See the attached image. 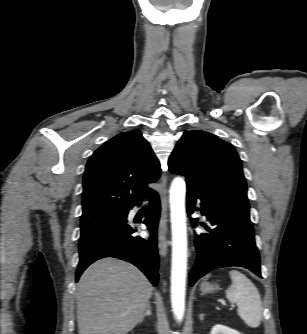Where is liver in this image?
<instances>
[{"mask_svg":"<svg viewBox=\"0 0 307 334\" xmlns=\"http://www.w3.org/2000/svg\"><path fill=\"white\" fill-rule=\"evenodd\" d=\"M152 293L134 265L112 257L94 262L77 284L79 334H127L140 322Z\"/></svg>","mask_w":307,"mask_h":334,"instance_id":"1","label":"liver"}]
</instances>
